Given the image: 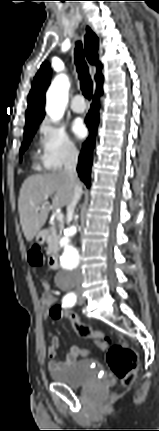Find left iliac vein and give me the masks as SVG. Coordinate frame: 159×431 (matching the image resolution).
<instances>
[{
	"label": "left iliac vein",
	"mask_w": 159,
	"mask_h": 431,
	"mask_svg": "<svg viewBox=\"0 0 159 431\" xmlns=\"http://www.w3.org/2000/svg\"><path fill=\"white\" fill-rule=\"evenodd\" d=\"M84 302H85V299L82 296H80L79 300H78V304L82 305V304H84Z\"/></svg>",
	"instance_id": "1"
}]
</instances>
